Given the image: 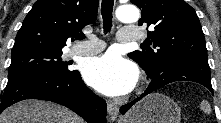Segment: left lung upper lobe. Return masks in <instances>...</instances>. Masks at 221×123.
Segmentation results:
<instances>
[{
    "mask_svg": "<svg viewBox=\"0 0 221 123\" xmlns=\"http://www.w3.org/2000/svg\"><path fill=\"white\" fill-rule=\"evenodd\" d=\"M141 9L138 25H147L148 44L128 54L148 76L167 65L195 61L208 65L204 34L195 10L184 0H131Z\"/></svg>",
    "mask_w": 221,
    "mask_h": 123,
    "instance_id": "5c2ea615",
    "label": "left lung upper lobe"
}]
</instances>
